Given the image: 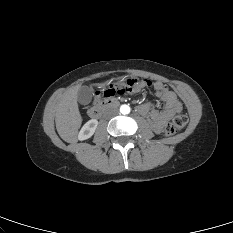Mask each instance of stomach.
<instances>
[{
  "instance_id": "stomach-1",
  "label": "stomach",
  "mask_w": 233,
  "mask_h": 233,
  "mask_svg": "<svg viewBox=\"0 0 233 233\" xmlns=\"http://www.w3.org/2000/svg\"><path fill=\"white\" fill-rule=\"evenodd\" d=\"M132 84V77L130 75L114 76L112 78V85L114 87L130 86Z\"/></svg>"
}]
</instances>
